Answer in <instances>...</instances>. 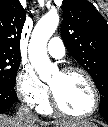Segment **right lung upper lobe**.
Instances as JSON below:
<instances>
[{
    "label": "right lung upper lobe",
    "instance_id": "right-lung-upper-lobe-1",
    "mask_svg": "<svg viewBox=\"0 0 108 127\" xmlns=\"http://www.w3.org/2000/svg\"><path fill=\"white\" fill-rule=\"evenodd\" d=\"M26 11L19 0H0V52L20 54Z\"/></svg>",
    "mask_w": 108,
    "mask_h": 127
}]
</instances>
